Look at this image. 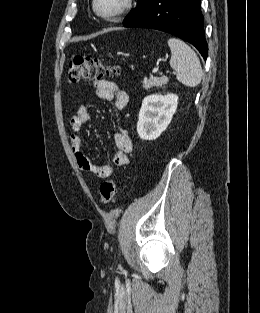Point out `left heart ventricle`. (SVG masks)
I'll return each instance as SVG.
<instances>
[{"label":"left heart ventricle","mask_w":260,"mask_h":313,"mask_svg":"<svg viewBox=\"0 0 260 313\" xmlns=\"http://www.w3.org/2000/svg\"><path fill=\"white\" fill-rule=\"evenodd\" d=\"M123 0H97L98 10L102 13H110L117 10Z\"/></svg>","instance_id":"left-heart-ventricle-1"}]
</instances>
